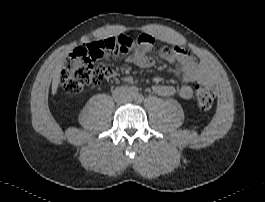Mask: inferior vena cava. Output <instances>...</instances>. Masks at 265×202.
Returning <instances> with one entry per match:
<instances>
[{"instance_id": "inferior-vena-cava-1", "label": "inferior vena cava", "mask_w": 265, "mask_h": 202, "mask_svg": "<svg viewBox=\"0 0 265 202\" xmlns=\"http://www.w3.org/2000/svg\"><path fill=\"white\" fill-rule=\"evenodd\" d=\"M113 98L116 102L125 103L127 101H130L131 93L127 87L120 86L115 88V90L113 91Z\"/></svg>"}]
</instances>
